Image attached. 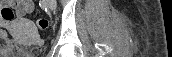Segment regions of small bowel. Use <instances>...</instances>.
I'll list each match as a JSON object with an SVG mask.
<instances>
[{
  "label": "small bowel",
  "mask_w": 172,
  "mask_h": 57,
  "mask_svg": "<svg viewBox=\"0 0 172 57\" xmlns=\"http://www.w3.org/2000/svg\"><path fill=\"white\" fill-rule=\"evenodd\" d=\"M12 4L16 5L18 7L17 12L19 16L24 15L27 12H30L32 10V1L30 0H21V1H13ZM2 4H0V7ZM0 26H2V23H0ZM0 51L2 53H7L15 50L18 47V43L11 39L7 32L0 28Z\"/></svg>",
  "instance_id": "1"
}]
</instances>
